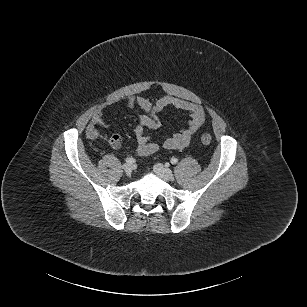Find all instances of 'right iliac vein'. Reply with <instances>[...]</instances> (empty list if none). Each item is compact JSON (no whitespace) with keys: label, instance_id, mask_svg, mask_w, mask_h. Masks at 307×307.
I'll return each instance as SVG.
<instances>
[{"label":"right iliac vein","instance_id":"1","mask_svg":"<svg viewBox=\"0 0 307 307\" xmlns=\"http://www.w3.org/2000/svg\"><path fill=\"white\" fill-rule=\"evenodd\" d=\"M123 169L126 172V174H131L133 170L132 166L128 163L123 165Z\"/></svg>","mask_w":307,"mask_h":307}]
</instances>
